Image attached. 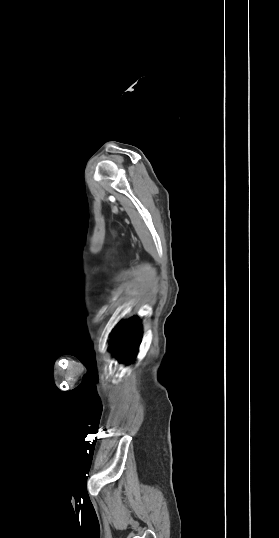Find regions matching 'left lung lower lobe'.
Listing matches in <instances>:
<instances>
[{"instance_id":"obj_1","label":"left lung lower lobe","mask_w":279,"mask_h":538,"mask_svg":"<svg viewBox=\"0 0 279 538\" xmlns=\"http://www.w3.org/2000/svg\"><path fill=\"white\" fill-rule=\"evenodd\" d=\"M117 328L119 329L112 337L111 351L120 362L131 363L136 356L142 337L140 321L137 317H133L126 323L119 324Z\"/></svg>"}]
</instances>
